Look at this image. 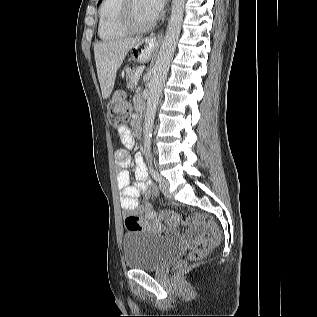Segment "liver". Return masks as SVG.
Instances as JSON below:
<instances>
[{"label": "liver", "instance_id": "6515ba94", "mask_svg": "<svg viewBox=\"0 0 317 317\" xmlns=\"http://www.w3.org/2000/svg\"><path fill=\"white\" fill-rule=\"evenodd\" d=\"M140 37L97 42L94 45V55L98 80L102 97H110L120 68L127 53L135 45H139Z\"/></svg>", "mask_w": 317, "mask_h": 317}]
</instances>
